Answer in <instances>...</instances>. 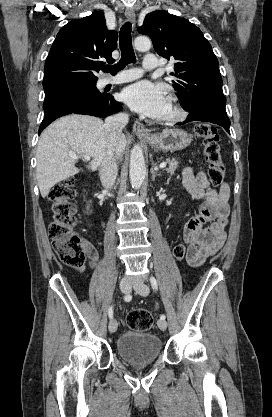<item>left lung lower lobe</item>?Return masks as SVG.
I'll return each instance as SVG.
<instances>
[{"instance_id":"1","label":"left lung lower lobe","mask_w":272,"mask_h":417,"mask_svg":"<svg viewBox=\"0 0 272 417\" xmlns=\"http://www.w3.org/2000/svg\"><path fill=\"white\" fill-rule=\"evenodd\" d=\"M189 115L184 122L190 121H206L222 126L228 133L230 127V120L226 115L214 114L207 110H191L188 111Z\"/></svg>"}]
</instances>
